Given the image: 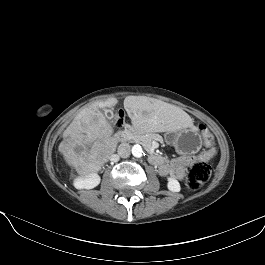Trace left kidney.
Masks as SVG:
<instances>
[{
  "label": "left kidney",
  "mask_w": 265,
  "mask_h": 265,
  "mask_svg": "<svg viewBox=\"0 0 265 265\" xmlns=\"http://www.w3.org/2000/svg\"><path fill=\"white\" fill-rule=\"evenodd\" d=\"M167 187L171 192H179L181 190L178 180L172 177L168 178Z\"/></svg>",
  "instance_id": "obj_1"
}]
</instances>
